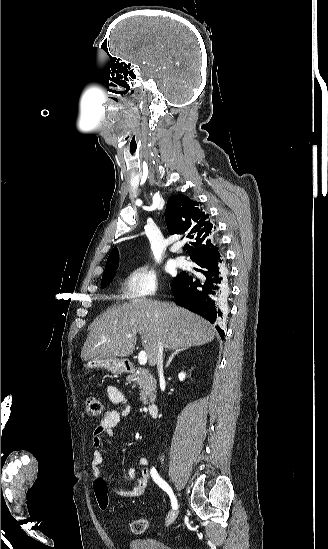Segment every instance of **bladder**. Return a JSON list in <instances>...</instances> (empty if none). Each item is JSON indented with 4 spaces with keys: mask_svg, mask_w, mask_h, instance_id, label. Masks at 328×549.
Wrapping results in <instances>:
<instances>
[{
    "mask_svg": "<svg viewBox=\"0 0 328 549\" xmlns=\"http://www.w3.org/2000/svg\"><path fill=\"white\" fill-rule=\"evenodd\" d=\"M132 548L129 549H173L167 543L157 539L133 540L130 542Z\"/></svg>",
    "mask_w": 328,
    "mask_h": 549,
    "instance_id": "obj_1",
    "label": "bladder"
}]
</instances>
